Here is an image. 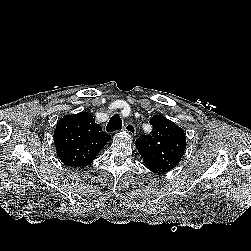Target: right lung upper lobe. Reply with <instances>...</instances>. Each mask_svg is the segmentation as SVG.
<instances>
[{"instance_id":"right-lung-upper-lobe-1","label":"right lung upper lobe","mask_w":251,"mask_h":251,"mask_svg":"<svg viewBox=\"0 0 251 251\" xmlns=\"http://www.w3.org/2000/svg\"><path fill=\"white\" fill-rule=\"evenodd\" d=\"M110 138L88 112L63 116L54 132L59 159L74 168L91 163Z\"/></svg>"}]
</instances>
